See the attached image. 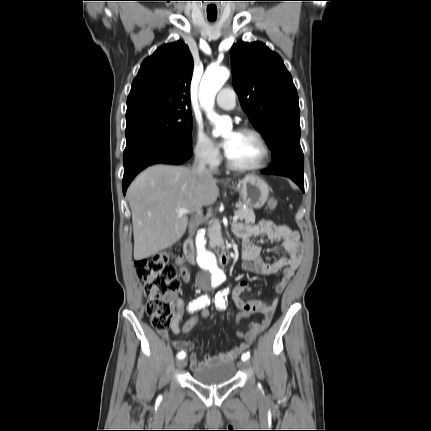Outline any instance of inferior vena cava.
Listing matches in <instances>:
<instances>
[{
    "label": "inferior vena cava",
    "mask_w": 431,
    "mask_h": 431,
    "mask_svg": "<svg viewBox=\"0 0 431 431\" xmlns=\"http://www.w3.org/2000/svg\"><path fill=\"white\" fill-rule=\"evenodd\" d=\"M192 171L198 175H205L211 177L210 171L206 168V160L202 155H197L192 165ZM196 229V223L190 224V234L193 235Z\"/></svg>",
    "instance_id": "inferior-vena-cava-1"
}]
</instances>
